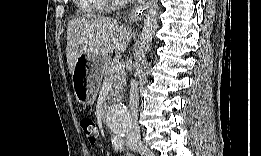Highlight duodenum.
<instances>
[{
  "label": "duodenum",
  "instance_id": "obj_1",
  "mask_svg": "<svg viewBox=\"0 0 261 156\" xmlns=\"http://www.w3.org/2000/svg\"><path fill=\"white\" fill-rule=\"evenodd\" d=\"M110 100L113 102H117V101H119V98L117 96H113V97H111Z\"/></svg>",
  "mask_w": 261,
  "mask_h": 156
}]
</instances>
